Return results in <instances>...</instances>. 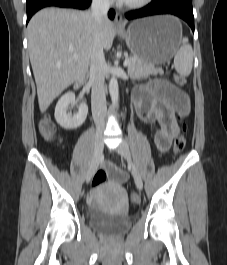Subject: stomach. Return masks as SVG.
I'll list each match as a JSON object with an SVG mask.
<instances>
[{"instance_id":"stomach-1","label":"stomach","mask_w":227,"mask_h":265,"mask_svg":"<svg viewBox=\"0 0 227 265\" xmlns=\"http://www.w3.org/2000/svg\"><path fill=\"white\" fill-rule=\"evenodd\" d=\"M134 57L146 64L160 65L177 52L182 37L180 21L171 15L147 17L119 30Z\"/></svg>"}]
</instances>
